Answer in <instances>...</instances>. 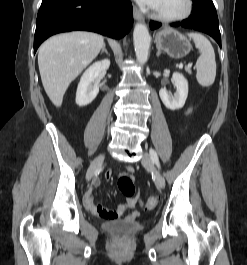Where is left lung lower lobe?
<instances>
[{
    "label": "left lung lower lobe",
    "mask_w": 247,
    "mask_h": 265,
    "mask_svg": "<svg viewBox=\"0 0 247 265\" xmlns=\"http://www.w3.org/2000/svg\"><path fill=\"white\" fill-rule=\"evenodd\" d=\"M179 25L184 28H191L209 34L221 47L219 22L212 0H193L192 15L181 23L172 24V26ZM160 26L161 23L150 22L151 29H156Z\"/></svg>",
    "instance_id": "1"
}]
</instances>
